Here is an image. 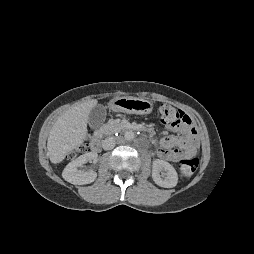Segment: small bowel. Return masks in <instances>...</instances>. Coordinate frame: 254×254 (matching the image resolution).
<instances>
[{"instance_id":"small-bowel-1","label":"small bowel","mask_w":254,"mask_h":254,"mask_svg":"<svg viewBox=\"0 0 254 254\" xmlns=\"http://www.w3.org/2000/svg\"><path fill=\"white\" fill-rule=\"evenodd\" d=\"M181 135L164 137L159 142L158 155L170 162L178 161L182 156H194L197 153V140L190 126L176 127Z\"/></svg>"}]
</instances>
